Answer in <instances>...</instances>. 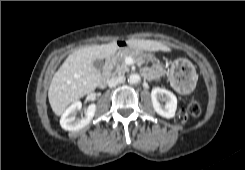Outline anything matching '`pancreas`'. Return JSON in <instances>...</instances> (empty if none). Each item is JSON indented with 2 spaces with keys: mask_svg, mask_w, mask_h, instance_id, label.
<instances>
[{
  "mask_svg": "<svg viewBox=\"0 0 245 170\" xmlns=\"http://www.w3.org/2000/svg\"><path fill=\"white\" fill-rule=\"evenodd\" d=\"M127 57H131L138 65H143L146 63L144 58L136 53L135 51L131 50H124L119 52L116 57L114 58L113 65H114V75H123L129 71L128 65L125 63V59ZM151 75L155 76L156 78H160L163 75L162 69L159 65H154L151 69Z\"/></svg>",
  "mask_w": 245,
  "mask_h": 170,
  "instance_id": "pancreas-1",
  "label": "pancreas"
}]
</instances>
